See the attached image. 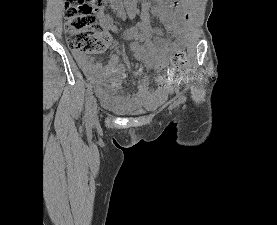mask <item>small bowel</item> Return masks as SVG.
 <instances>
[{
  "label": "small bowel",
  "mask_w": 277,
  "mask_h": 225,
  "mask_svg": "<svg viewBox=\"0 0 277 225\" xmlns=\"http://www.w3.org/2000/svg\"><path fill=\"white\" fill-rule=\"evenodd\" d=\"M153 2L156 3L153 12L160 19L168 33L175 32L179 20L187 19L188 13L183 10L181 5L173 10L164 0H145L142 5V22L122 34L124 40L130 41V49L133 55L138 59H147L152 69L159 74L158 86L150 90L145 82L141 83L135 98L140 102L156 104L163 102L168 94L174 91L175 87L168 77L162 75L172 47L165 38L164 30L152 27L150 24L149 10ZM96 13L102 27L101 35L106 41L107 47H109L112 43L111 31H115L116 27L102 8L97 7ZM139 30H141V33H139ZM76 60L92 87L103 95L107 94V86L118 81L124 69L116 55H112L106 64H102L93 57L81 54L76 55Z\"/></svg>",
  "instance_id": "c3829d8e"
}]
</instances>
